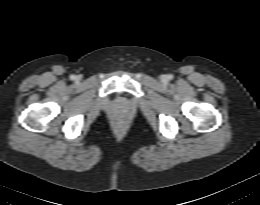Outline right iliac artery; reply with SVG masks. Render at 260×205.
Listing matches in <instances>:
<instances>
[{"label":"right iliac artery","mask_w":260,"mask_h":205,"mask_svg":"<svg viewBox=\"0 0 260 205\" xmlns=\"http://www.w3.org/2000/svg\"><path fill=\"white\" fill-rule=\"evenodd\" d=\"M70 79H71V80H74V79H76V76H75V75H71V76H70Z\"/></svg>","instance_id":"obj_1"}]
</instances>
